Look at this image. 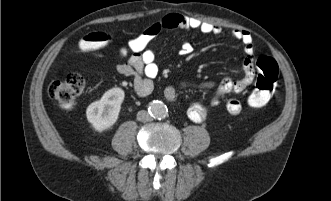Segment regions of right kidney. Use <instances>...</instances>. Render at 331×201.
Segmentation results:
<instances>
[{"mask_svg": "<svg viewBox=\"0 0 331 201\" xmlns=\"http://www.w3.org/2000/svg\"><path fill=\"white\" fill-rule=\"evenodd\" d=\"M124 97V91L115 87L106 91L100 100L87 107L86 117L95 131L109 130L116 123Z\"/></svg>", "mask_w": 331, "mask_h": 201, "instance_id": "ca27d5eb", "label": "right kidney"}]
</instances>
